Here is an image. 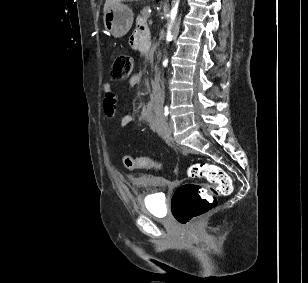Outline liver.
<instances>
[{
    "instance_id": "obj_1",
    "label": "liver",
    "mask_w": 308,
    "mask_h": 283,
    "mask_svg": "<svg viewBox=\"0 0 308 283\" xmlns=\"http://www.w3.org/2000/svg\"><path fill=\"white\" fill-rule=\"evenodd\" d=\"M122 1H126V0H106L104 4V13H106L110 7L121 3Z\"/></svg>"
}]
</instances>
